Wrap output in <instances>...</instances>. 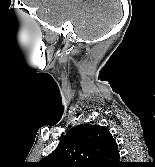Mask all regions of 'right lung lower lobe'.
Listing matches in <instances>:
<instances>
[{
	"instance_id": "98d812e1",
	"label": "right lung lower lobe",
	"mask_w": 155,
	"mask_h": 167,
	"mask_svg": "<svg viewBox=\"0 0 155 167\" xmlns=\"http://www.w3.org/2000/svg\"><path fill=\"white\" fill-rule=\"evenodd\" d=\"M126 165L124 163H119L118 165H116V167H125Z\"/></svg>"
}]
</instances>
